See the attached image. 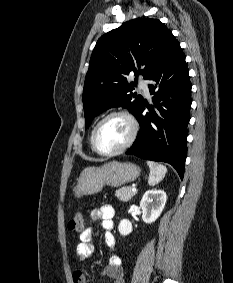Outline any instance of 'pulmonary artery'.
Instances as JSON below:
<instances>
[{"instance_id": "e3ab8cb5", "label": "pulmonary artery", "mask_w": 233, "mask_h": 283, "mask_svg": "<svg viewBox=\"0 0 233 283\" xmlns=\"http://www.w3.org/2000/svg\"><path fill=\"white\" fill-rule=\"evenodd\" d=\"M139 87L143 90L146 96L149 95V85L147 80L141 79L139 81Z\"/></svg>"}]
</instances>
